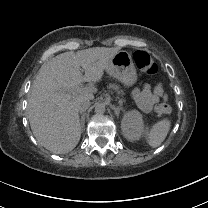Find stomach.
I'll return each instance as SVG.
<instances>
[{
  "instance_id": "obj_1",
  "label": "stomach",
  "mask_w": 208,
  "mask_h": 208,
  "mask_svg": "<svg viewBox=\"0 0 208 208\" xmlns=\"http://www.w3.org/2000/svg\"><path fill=\"white\" fill-rule=\"evenodd\" d=\"M124 87H134L138 82V73L132 56L127 51H119L111 60L106 69Z\"/></svg>"
}]
</instances>
